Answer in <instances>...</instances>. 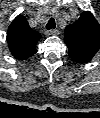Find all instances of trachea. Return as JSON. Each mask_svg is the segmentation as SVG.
I'll use <instances>...</instances> for the list:
<instances>
[{"instance_id":"trachea-1","label":"trachea","mask_w":100,"mask_h":118,"mask_svg":"<svg viewBox=\"0 0 100 118\" xmlns=\"http://www.w3.org/2000/svg\"><path fill=\"white\" fill-rule=\"evenodd\" d=\"M56 26L54 18H50L49 22L46 25L47 30L54 29Z\"/></svg>"}]
</instances>
